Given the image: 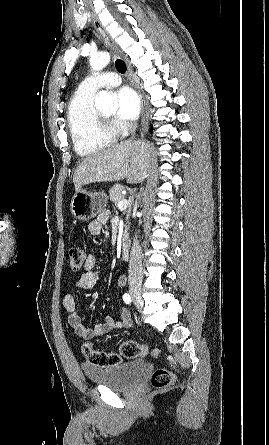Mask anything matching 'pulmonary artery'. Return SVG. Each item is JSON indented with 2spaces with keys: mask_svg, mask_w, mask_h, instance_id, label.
I'll use <instances>...</instances> for the list:
<instances>
[{
  "mask_svg": "<svg viewBox=\"0 0 269 445\" xmlns=\"http://www.w3.org/2000/svg\"><path fill=\"white\" fill-rule=\"evenodd\" d=\"M121 83L120 76L115 72H105L101 74H91L87 76L81 83V87L90 90L97 91L102 87L111 88L118 86Z\"/></svg>",
  "mask_w": 269,
  "mask_h": 445,
  "instance_id": "1",
  "label": "pulmonary artery"
}]
</instances>
